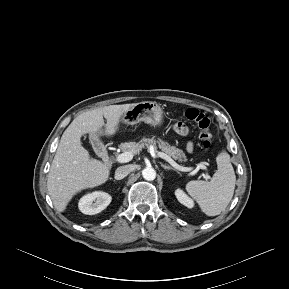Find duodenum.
<instances>
[{"label":"duodenum","mask_w":289,"mask_h":289,"mask_svg":"<svg viewBox=\"0 0 289 289\" xmlns=\"http://www.w3.org/2000/svg\"><path fill=\"white\" fill-rule=\"evenodd\" d=\"M99 154L104 162L105 166H109L110 165V158H109V154L107 152V150L103 147L99 148Z\"/></svg>","instance_id":"410a0bca"}]
</instances>
